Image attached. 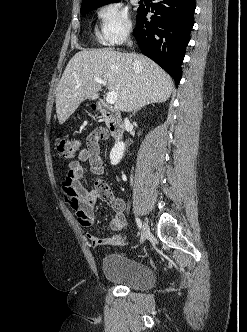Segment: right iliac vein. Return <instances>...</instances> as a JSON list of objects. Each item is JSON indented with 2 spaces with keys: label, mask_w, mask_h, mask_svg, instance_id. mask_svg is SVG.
Here are the masks:
<instances>
[{
  "label": "right iliac vein",
  "mask_w": 247,
  "mask_h": 332,
  "mask_svg": "<svg viewBox=\"0 0 247 332\" xmlns=\"http://www.w3.org/2000/svg\"><path fill=\"white\" fill-rule=\"evenodd\" d=\"M149 235H150V228L147 223H144L141 232L140 242L143 243Z\"/></svg>",
  "instance_id": "obj_1"
}]
</instances>
